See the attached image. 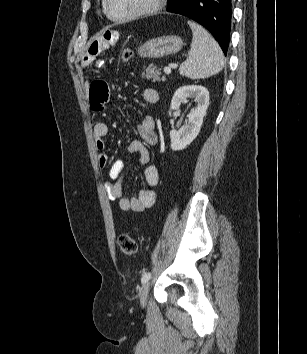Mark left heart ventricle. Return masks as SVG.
Here are the masks:
<instances>
[{
	"label": "left heart ventricle",
	"instance_id": "left-heart-ventricle-1",
	"mask_svg": "<svg viewBox=\"0 0 307 354\" xmlns=\"http://www.w3.org/2000/svg\"><path fill=\"white\" fill-rule=\"evenodd\" d=\"M152 0H109V9L114 16H126L142 10Z\"/></svg>",
	"mask_w": 307,
	"mask_h": 354
}]
</instances>
